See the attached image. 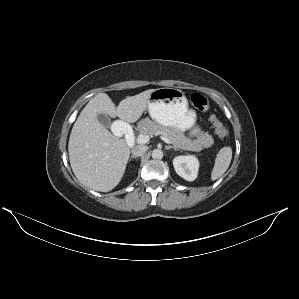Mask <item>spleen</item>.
I'll list each match as a JSON object with an SVG mask.
<instances>
[{"instance_id": "3e777b00", "label": "spleen", "mask_w": 299, "mask_h": 299, "mask_svg": "<svg viewBox=\"0 0 299 299\" xmlns=\"http://www.w3.org/2000/svg\"><path fill=\"white\" fill-rule=\"evenodd\" d=\"M232 159V148L225 146L221 148L216 156L215 164L211 172V180H217L229 168Z\"/></svg>"}]
</instances>
